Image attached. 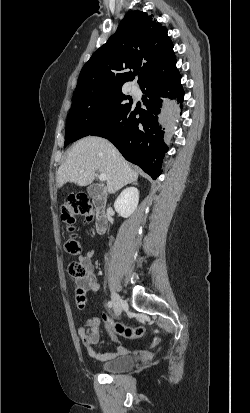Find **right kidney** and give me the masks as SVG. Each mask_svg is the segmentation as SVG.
Returning a JSON list of instances; mask_svg holds the SVG:
<instances>
[{"instance_id":"obj_1","label":"right kidney","mask_w":250,"mask_h":413,"mask_svg":"<svg viewBox=\"0 0 250 413\" xmlns=\"http://www.w3.org/2000/svg\"><path fill=\"white\" fill-rule=\"evenodd\" d=\"M139 203V191L135 187L126 188L116 199L114 208L124 218L130 217Z\"/></svg>"}]
</instances>
